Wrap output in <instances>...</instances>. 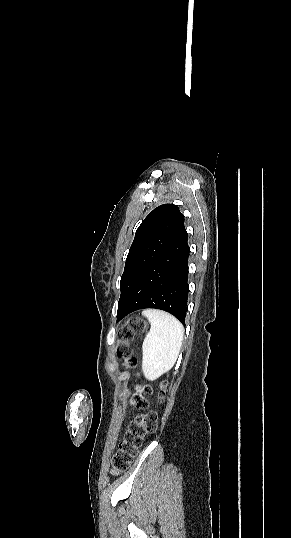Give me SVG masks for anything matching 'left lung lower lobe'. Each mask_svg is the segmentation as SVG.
<instances>
[{
    "label": "left lung lower lobe",
    "instance_id": "1",
    "mask_svg": "<svg viewBox=\"0 0 291 538\" xmlns=\"http://www.w3.org/2000/svg\"><path fill=\"white\" fill-rule=\"evenodd\" d=\"M187 239L185 230L149 266L126 303L118 307L117 321L138 309L155 308L185 324L190 252Z\"/></svg>",
    "mask_w": 291,
    "mask_h": 538
}]
</instances>
